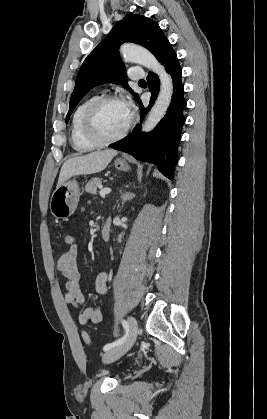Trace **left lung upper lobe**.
I'll return each mask as SVG.
<instances>
[{"label": "left lung upper lobe", "instance_id": "obj_1", "mask_svg": "<svg viewBox=\"0 0 267 419\" xmlns=\"http://www.w3.org/2000/svg\"><path fill=\"white\" fill-rule=\"evenodd\" d=\"M124 42L140 44L159 59L169 41L159 25L145 16L129 14L118 21L80 67L66 121L90 89L106 82L121 84L125 89L130 90L137 100L139 99L125 79V66L119 56V46Z\"/></svg>", "mask_w": 267, "mask_h": 419}]
</instances>
